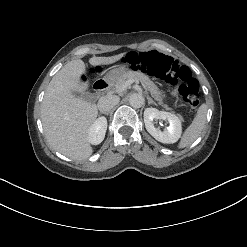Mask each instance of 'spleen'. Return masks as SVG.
<instances>
[{"label": "spleen", "mask_w": 247, "mask_h": 247, "mask_svg": "<svg viewBox=\"0 0 247 247\" xmlns=\"http://www.w3.org/2000/svg\"><path fill=\"white\" fill-rule=\"evenodd\" d=\"M207 106L202 104L192 123L185 130L179 142V148H185L192 144L201 134L206 122Z\"/></svg>", "instance_id": "3e777b00"}]
</instances>
